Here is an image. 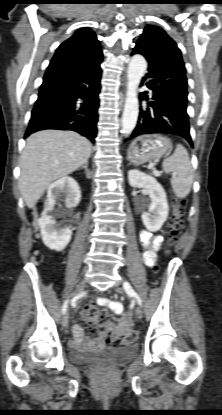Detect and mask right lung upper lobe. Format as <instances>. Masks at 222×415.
Segmentation results:
<instances>
[{"label":"right lung upper lobe","instance_id":"right-lung-upper-lobe-1","mask_svg":"<svg viewBox=\"0 0 222 415\" xmlns=\"http://www.w3.org/2000/svg\"><path fill=\"white\" fill-rule=\"evenodd\" d=\"M102 57L100 43L95 33L89 28H81L58 47L51 62L86 64Z\"/></svg>","mask_w":222,"mask_h":415}]
</instances>
